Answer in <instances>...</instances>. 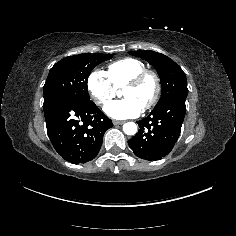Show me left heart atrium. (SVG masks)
Instances as JSON below:
<instances>
[{
    "label": "left heart atrium",
    "mask_w": 236,
    "mask_h": 236,
    "mask_svg": "<svg viewBox=\"0 0 236 236\" xmlns=\"http://www.w3.org/2000/svg\"><path fill=\"white\" fill-rule=\"evenodd\" d=\"M105 111L113 119L124 120L139 116L143 112V107L133 99L124 98L108 104Z\"/></svg>",
    "instance_id": "39dd6f15"
}]
</instances>
